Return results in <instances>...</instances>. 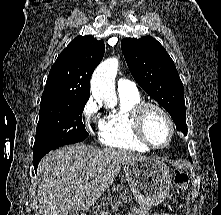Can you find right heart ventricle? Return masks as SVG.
Returning a JSON list of instances; mask_svg holds the SVG:
<instances>
[{
  "mask_svg": "<svg viewBox=\"0 0 221 215\" xmlns=\"http://www.w3.org/2000/svg\"><path fill=\"white\" fill-rule=\"evenodd\" d=\"M120 106L110 112L103 121L99 133L100 141L109 147L133 152H148L150 148L136 136L132 123V109L142 97L138 91L119 93Z\"/></svg>",
  "mask_w": 221,
  "mask_h": 215,
  "instance_id": "obj_1",
  "label": "right heart ventricle"
}]
</instances>
